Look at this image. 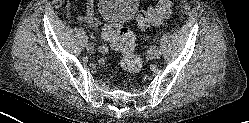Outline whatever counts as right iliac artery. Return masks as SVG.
Returning a JSON list of instances; mask_svg holds the SVG:
<instances>
[{
	"instance_id": "82829eb1",
	"label": "right iliac artery",
	"mask_w": 249,
	"mask_h": 123,
	"mask_svg": "<svg viewBox=\"0 0 249 123\" xmlns=\"http://www.w3.org/2000/svg\"><path fill=\"white\" fill-rule=\"evenodd\" d=\"M98 49H99V51H100L101 53H106V52H108V47H106V46H100Z\"/></svg>"
}]
</instances>
